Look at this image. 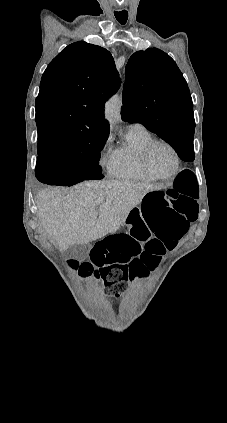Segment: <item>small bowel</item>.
Masks as SVG:
<instances>
[{
  "mask_svg": "<svg viewBox=\"0 0 227 423\" xmlns=\"http://www.w3.org/2000/svg\"><path fill=\"white\" fill-rule=\"evenodd\" d=\"M136 221H137L138 223L142 224V225H145V227L148 229V227H147V223L145 222V220H144L142 217H139ZM148 231H149V229H148ZM149 233H150V236H152V234H151V232H150V231H149ZM152 239H155V237H154V236H152Z\"/></svg>",
  "mask_w": 227,
  "mask_h": 423,
  "instance_id": "small-bowel-1",
  "label": "small bowel"
}]
</instances>
